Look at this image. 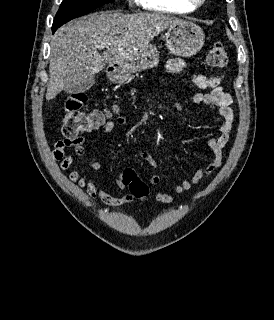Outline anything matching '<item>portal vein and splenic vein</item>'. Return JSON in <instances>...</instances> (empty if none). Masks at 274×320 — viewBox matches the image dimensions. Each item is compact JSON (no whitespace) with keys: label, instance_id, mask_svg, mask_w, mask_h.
Segmentation results:
<instances>
[{"label":"portal vein and splenic vein","instance_id":"1","mask_svg":"<svg viewBox=\"0 0 274 320\" xmlns=\"http://www.w3.org/2000/svg\"><path fill=\"white\" fill-rule=\"evenodd\" d=\"M105 46H107V44H102L101 48H105Z\"/></svg>","mask_w":274,"mask_h":320}]
</instances>
